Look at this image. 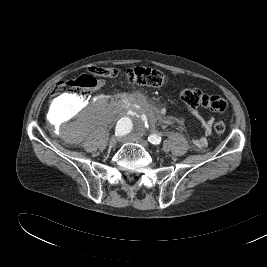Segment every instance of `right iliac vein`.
Returning <instances> with one entry per match:
<instances>
[{
	"label": "right iliac vein",
	"instance_id": "63e3f726",
	"mask_svg": "<svg viewBox=\"0 0 267 267\" xmlns=\"http://www.w3.org/2000/svg\"><path fill=\"white\" fill-rule=\"evenodd\" d=\"M118 141H119V138L116 136H113L109 141V146L115 147L117 145Z\"/></svg>",
	"mask_w": 267,
	"mask_h": 267
}]
</instances>
